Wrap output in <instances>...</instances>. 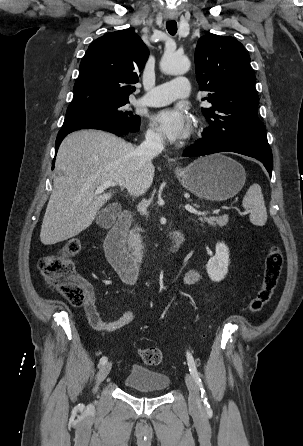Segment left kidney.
<instances>
[{
  "label": "left kidney",
  "instance_id": "obj_1",
  "mask_svg": "<svg viewBox=\"0 0 303 446\" xmlns=\"http://www.w3.org/2000/svg\"><path fill=\"white\" fill-rule=\"evenodd\" d=\"M215 250L216 254L206 264V270L212 281L219 282L228 273L229 249L223 242H219Z\"/></svg>",
  "mask_w": 303,
  "mask_h": 446
}]
</instances>
